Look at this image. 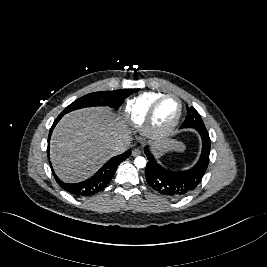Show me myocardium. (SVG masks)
Returning <instances> with one entry per match:
<instances>
[{"instance_id": "1", "label": "myocardium", "mask_w": 267, "mask_h": 267, "mask_svg": "<svg viewBox=\"0 0 267 267\" xmlns=\"http://www.w3.org/2000/svg\"><path fill=\"white\" fill-rule=\"evenodd\" d=\"M167 98H174L177 100L178 105H179L178 114L174 122L169 127L165 129H157L154 126L155 115H156L159 105ZM182 114H183V103L181 99L176 94H172V93L163 94L151 104L146 114L145 120L142 124L143 132L147 137L151 139H155V140L163 139L171 135L175 131V129L177 128V126L179 125L181 121Z\"/></svg>"}]
</instances>
